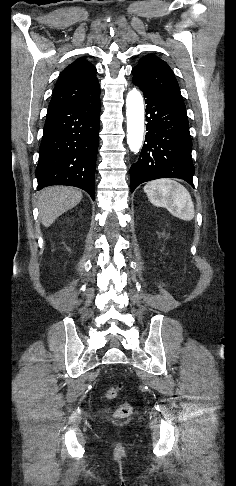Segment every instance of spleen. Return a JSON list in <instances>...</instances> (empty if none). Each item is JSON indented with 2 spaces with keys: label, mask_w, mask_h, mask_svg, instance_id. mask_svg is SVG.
Here are the masks:
<instances>
[{
  "label": "spleen",
  "mask_w": 236,
  "mask_h": 486,
  "mask_svg": "<svg viewBox=\"0 0 236 486\" xmlns=\"http://www.w3.org/2000/svg\"><path fill=\"white\" fill-rule=\"evenodd\" d=\"M144 192L153 205L166 207L182 220L193 219L195 211L191 195L180 183L170 179H159L147 183Z\"/></svg>",
  "instance_id": "3e777b00"
}]
</instances>
